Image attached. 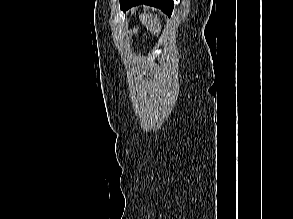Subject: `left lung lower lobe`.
I'll use <instances>...</instances> for the list:
<instances>
[{
    "label": "left lung lower lobe",
    "mask_w": 293,
    "mask_h": 219,
    "mask_svg": "<svg viewBox=\"0 0 293 219\" xmlns=\"http://www.w3.org/2000/svg\"><path fill=\"white\" fill-rule=\"evenodd\" d=\"M120 4L124 10L139 4H146L161 9L168 16L171 15L174 6L173 0H120Z\"/></svg>",
    "instance_id": "1"
}]
</instances>
